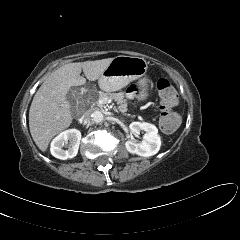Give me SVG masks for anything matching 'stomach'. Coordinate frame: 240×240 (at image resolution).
<instances>
[{
    "instance_id": "1",
    "label": "stomach",
    "mask_w": 240,
    "mask_h": 240,
    "mask_svg": "<svg viewBox=\"0 0 240 240\" xmlns=\"http://www.w3.org/2000/svg\"><path fill=\"white\" fill-rule=\"evenodd\" d=\"M147 61L136 56H117L100 76L98 83L103 91H117L130 82L139 79L140 100L147 97V79L144 77L147 71Z\"/></svg>"
}]
</instances>
